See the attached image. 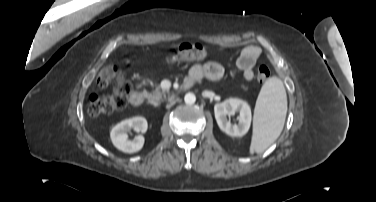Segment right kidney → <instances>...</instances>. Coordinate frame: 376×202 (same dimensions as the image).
I'll return each instance as SVG.
<instances>
[{
  "label": "right kidney",
  "instance_id": "ca27d5eb",
  "mask_svg": "<svg viewBox=\"0 0 376 202\" xmlns=\"http://www.w3.org/2000/svg\"><path fill=\"white\" fill-rule=\"evenodd\" d=\"M147 128V120L144 117L137 116L125 119L112 128L110 138L117 149L125 153H135L142 149L144 145V137L139 135L133 140H129L127 132L130 129H134L136 132L145 133Z\"/></svg>",
  "mask_w": 376,
  "mask_h": 202
}]
</instances>
